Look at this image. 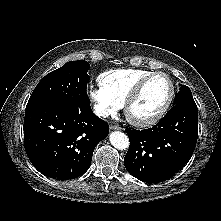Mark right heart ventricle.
<instances>
[{"instance_id": "1", "label": "right heart ventricle", "mask_w": 221, "mask_h": 221, "mask_svg": "<svg viewBox=\"0 0 221 221\" xmlns=\"http://www.w3.org/2000/svg\"><path fill=\"white\" fill-rule=\"evenodd\" d=\"M152 73L137 68H119L103 72L98 77L99 86L121 105L139 80Z\"/></svg>"}]
</instances>
